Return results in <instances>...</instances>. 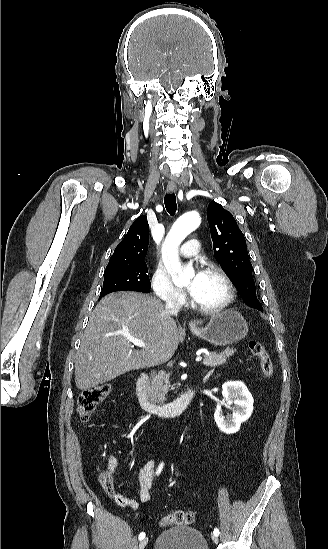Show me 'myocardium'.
I'll list each match as a JSON object with an SVG mask.
<instances>
[{
    "mask_svg": "<svg viewBox=\"0 0 328 549\" xmlns=\"http://www.w3.org/2000/svg\"><path fill=\"white\" fill-rule=\"evenodd\" d=\"M193 265L207 267L202 271L203 273L212 272L219 275L225 283L226 294H225V297L219 303L211 307L203 306L202 304L192 299L191 300L192 307L204 315H216L227 310L235 297V285L233 283V280L229 276V274L225 271L224 266H222L221 264L215 261L201 260L196 263H193V262L187 263L185 264L184 267L187 268Z\"/></svg>",
    "mask_w": 328,
    "mask_h": 549,
    "instance_id": "myocardium-1",
    "label": "myocardium"
}]
</instances>
